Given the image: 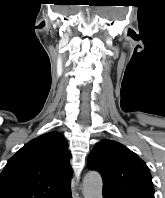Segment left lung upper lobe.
Returning <instances> with one entry per match:
<instances>
[{
    "label": "left lung upper lobe",
    "mask_w": 165,
    "mask_h": 198,
    "mask_svg": "<svg viewBox=\"0 0 165 198\" xmlns=\"http://www.w3.org/2000/svg\"><path fill=\"white\" fill-rule=\"evenodd\" d=\"M88 167L100 172L103 187L123 198H154L147 165L134 152L116 141L98 142L89 155Z\"/></svg>",
    "instance_id": "obj_1"
}]
</instances>
